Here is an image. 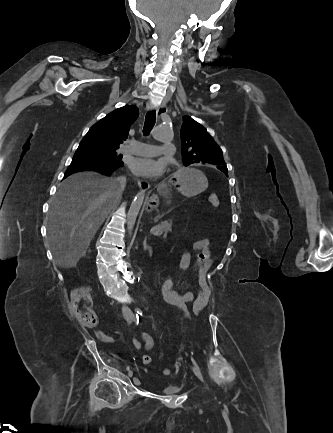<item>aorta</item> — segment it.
<instances>
[{
  "mask_svg": "<svg viewBox=\"0 0 333 433\" xmlns=\"http://www.w3.org/2000/svg\"><path fill=\"white\" fill-rule=\"evenodd\" d=\"M152 137L159 143H170L173 140V131L170 126L159 125L152 131ZM145 198V190H141L137 193L133 199L129 211L127 213V232L129 235L132 234L136 218L140 211Z\"/></svg>",
  "mask_w": 333,
  "mask_h": 433,
  "instance_id": "762f6f07",
  "label": "aorta"
}]
</instances>
